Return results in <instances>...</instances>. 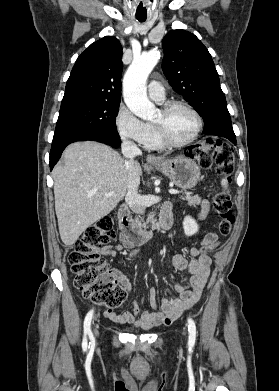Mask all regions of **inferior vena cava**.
<instances>
[{
  "mask_svg": "<svg viewBox=\"0 0 279 391\" xmlns=\"http://www.w3.org/2000/svg\"><path fill=\"white\" fill-rule=\"evenodd\" d=\"M121 147L123 155L128 159L126 161V170L129 175V187L125 201L133 212L137 214H143L146 207L144 206L141 197L138 194L140 177L137 173L134 160V158L138 155H141L142 152L133 142L128 140H124Z\"/></svg>",
  "mask_w": 279,
  "mask_h": 391,
  "instance_id": "inferior-vena-cava-1",
  "label": "inferior vena cava"
}]
</instances>
